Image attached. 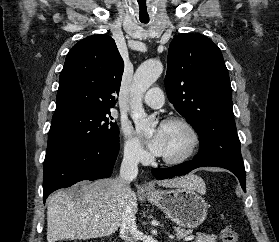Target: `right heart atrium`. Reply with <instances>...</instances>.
<instances>
[{
  "label": "right heart atrium",
  "mask_w": 279,
  "mask_h": 242,
  "mask_svg": "<svg viewBox=\"0 0 279 242\" xmlns=\"http://www.w3.org/2000/svg\"><path fill=\"white\" fill-rule=\"evenodd\" d=\"M122 136L124 159L131 164H139L147 161V152L126 127L122 128Z\"/></svg>",
  "instance_id": "obj_1"
}]
</instances>
